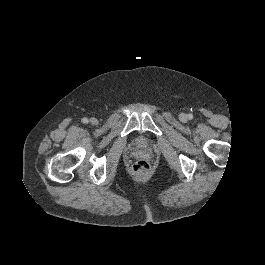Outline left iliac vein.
<instances>
[{"mask_svg": "<svg viewBox=\"0 0 265 265\" xmlns=\"http://www.w3.org/2000/svg\"><path fill=\"white\" fill-rule=\"evenodd\" d=\"M186 118H187L186 114H181V115H180V119H181V120H182V119H183V120H186Z\"/></svg>", "mask_w": 265, "mask_h": 265, "instance_id": "obj_1", "label": "left iliac vein"}]
</instances>
